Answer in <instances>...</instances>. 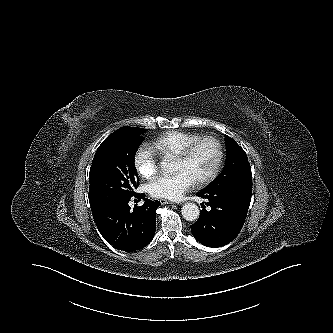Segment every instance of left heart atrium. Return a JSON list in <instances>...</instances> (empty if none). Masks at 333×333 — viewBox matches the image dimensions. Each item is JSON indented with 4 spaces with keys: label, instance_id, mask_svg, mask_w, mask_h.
<instances>
[{
    "label": "left heart atrium",
    "instance_id": "39dd6f15",
    "mask_svg": "<svg viewBox=\"0 0 333 333\" xmlns=\"http://www.w3.org/2000/svg\"><path fill=\"white\" fill-rule=\"evenodd\" d=\"M194 184V179L181 170L157 176L148 184V191L156 198L179 200Z\"/></svg>",
    "mask_w": 333,
    "mask_h": 333
}]
</instances>
